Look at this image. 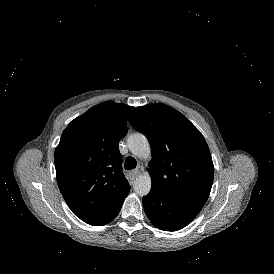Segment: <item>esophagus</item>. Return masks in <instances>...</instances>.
Instances as JSON below:
<instances>
[{
	"mask_svg": "<svg viewBox=\"0 0 274 274\" xmlns=\"http://www.w3.org/2000/svg\"><path fill=\"white\" fill-rule=\"evenodd\" d=\"M139 173H140L139 169H134L129 171L128 175L131 180H134L135 178L139 176Z\"/></svg>",
	"mask_w": 274,
	"mask_h": 274,
	"instance_id": "esophagus-1",
	"label": "esophagus"
}]
</instances>
